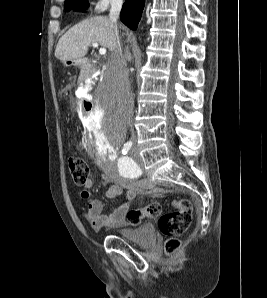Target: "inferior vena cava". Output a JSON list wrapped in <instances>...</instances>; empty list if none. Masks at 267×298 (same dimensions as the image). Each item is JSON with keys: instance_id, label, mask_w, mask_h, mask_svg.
<instances>
[{"instance_id": "inferior-vena-cava-1", "label": "inferior vena cava", "mask_w": 267, "mask_h": 298, "mask_svg": "<svg viewBox=\"0 0 267 298\" xmlns=\"http://www.w3.org/2000/svg\"><path fill=\"white\" fill-rule=\"evenodd\" d=\"M123 0H111L109 19L116 25L119 17ZM128 55L123 54L119 37L112 50L108 61V69L114 74L117 81L116 99L117 111L120 116L130 125L132 129L133 121V100L130 91L129 71L127 68Z\"/></svg>"}]
</instances>
